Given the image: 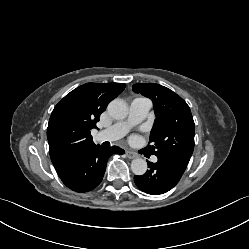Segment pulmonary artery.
<instances>
[{
  "label": "pulmonary artery",
  "instance_id": "pulmonary-artery-1",
  "mask_svg": "<svg viewBox=\"0 0 249 249\" xmlns=\"http://www.w3.org/2000/svg\"><path fill=\"white\" fill-rule=\"evenodd\" d=\"M151 107L152 102L148 98H134L129 106L128 118L100 131L97 134V140L99 142H104L115 141L122 138L133 125L144 120ZM152 160L153 162H156L157 158L153 157Z\"/></svg>",
  "mask_w": 249,
  "mask_h": 249
}]
</instances>
